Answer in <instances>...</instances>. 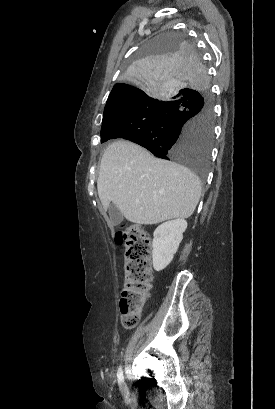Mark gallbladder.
I'll list each match as a JSON object with an SVG mask.
<instances>
[{
  "instance_id": "gallbladder-1",
  "label": "gallbladder",
  "mask_w": 275,
  "mask_h": 409,
  "mask_svg": "<svg viewBox=\"0 0 275 409\" xmlns=\"http://www.w3.org/2000/svg\"><path fill=\"white\" fill-rule=\"evenodd\" d=\"M108 211H109V217H110L111 225H113V227H117V225H120V223H122L124 217H123L122 213H120V211H118L117 207H115V205H113V202H111L110 207H108Z\"/></svg>"
}]
</instances>
